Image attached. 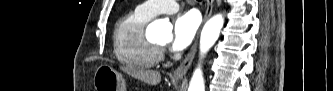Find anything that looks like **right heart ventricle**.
<instances>
[{
  "label": "right heart ventricle",
  "instance_id": "e07e8e85",
  "mask_svg": "<svg viewBox=\"0 0 333 91\" xmlns=\"http://www.w3.org/2000/svg\"><path fill=\"white\" fill-rule=\"evenodd\" d=\"M150 17L137 10L122 17L113 35V48L118 61L130 69H148L159 58L155 45L144 36V27Z\"/></svg>",
  "mask_w": 333,
  "mask_h": 91
}]
</instances>
